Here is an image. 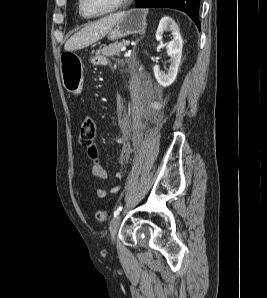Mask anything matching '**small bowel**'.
<instances>
[{"mask_svg":"<svg viewBox=\"0 0 267 298\" xmlns=\"http://www.w3.org/2000/svg\"><path fill=\"white\" fill-rule=\"evenodd\" d=\"M92 64L95 66L100 67H109L110 62L109 60L102 55H98L92 58L91 60ZM148 109H149V117L151 120H155L162 112L163 104L162 100L159 96L155 95L152 100L148 103ZM137 112L140 113V110L137 109ZM91 173L93 176L98 177L101 180H107L108 179V172L107 170L102 167L101 165L95 164L92 166ZM118 190L117 186H114L112 188H99L97 190V197L98 198H104L108 194H114Z\"/></svg>","mask_w":267,"mask_h":298,"instance_id":"1","label":"small bowel"}]
</instances>
